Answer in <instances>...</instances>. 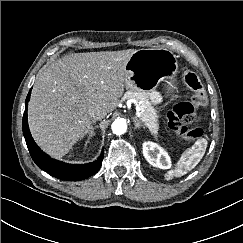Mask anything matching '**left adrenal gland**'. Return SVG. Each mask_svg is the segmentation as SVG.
Wrapping results in <instances>:
<instances>
[{"instance_id":"left-adrenal-gland-1","label":"left adrenal gland","mask_w":243,"mask_h":243,"mask_svg":"<svg viewBox=\"0 0 243 243\" xmlns=\"http://www.w3.org/2000/svg\"><path fill=\"white\" fill-rule=\"evenodd\" d=\"M133 122L135 123V129H139L141 127H144V125H142V123L136 117L133 118Z\"/></svg>"}]
</instances>
